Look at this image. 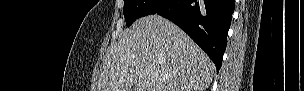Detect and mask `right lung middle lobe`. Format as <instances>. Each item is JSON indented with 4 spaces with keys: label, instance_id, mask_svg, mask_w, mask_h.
I'll list each match as a JSON object with an SVG mask.
<instances>
[{
    "label": "right lung middle lobe",
    "instance_id": "right-lung-middle-lobe-1",
    "mask_svg": "<svg viewBox=\"0 0 304 91\" xmlns=\"http://www.w3.org/2000/svg\"><path fill=\"white\" fill-rule=\"evenodd\" d=\"M167 2L168 0H124L126 25L130 26L135 19L152 14L157 7Z\"/></svg>",
    "mask_w": 304,
    "mask_h": 91
}]
</instances>
